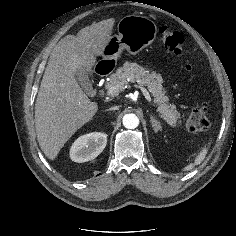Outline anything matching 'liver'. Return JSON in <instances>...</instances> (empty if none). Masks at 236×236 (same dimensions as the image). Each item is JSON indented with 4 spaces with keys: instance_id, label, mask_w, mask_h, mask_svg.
Masks as SVG:
<instances>
[{
    "instance_id": "liver-1",
    "label": "liver",
    "mask_w": 236,
    "mask_h": 236,
    "mask_svg": "<svg viewBox=\"0 0 236 236\" xmlns=\"http://www.w3.org/2000/svg\"><path fill=\"white\" fill-rule=\"evenodd\" d=\"M114 23V18L106 19L81 29L77 36L67 35L50 55L35 103L37 140L50 160L98 110L79 86L76 73H92Z\"/></svg>"
}]
</instances>
